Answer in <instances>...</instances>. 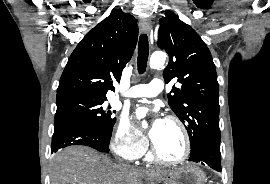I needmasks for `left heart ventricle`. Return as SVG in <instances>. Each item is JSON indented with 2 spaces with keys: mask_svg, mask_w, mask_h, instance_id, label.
<instances>
[{
  "mask_svg": "<svg viewBox=\"0 0 270 184\" xmlns=\"http://www.w3.org/2000/svg\"><path fill=\"white\" fill-rule=\"evenodd\" d=\"M154 144L159 154L167 160H176L183 154L184 142L181 131L172 122L164 121Z\"/></svg>",
  "mask_w": 270,
  "mask_h": 184,
  "instance_id": "1",
  "label": "left heart ventricle"
}]
</instances>
